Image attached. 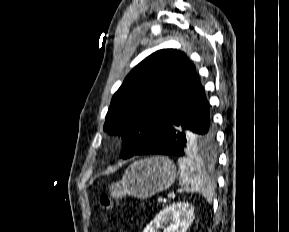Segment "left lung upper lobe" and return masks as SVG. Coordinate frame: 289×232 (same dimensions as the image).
<instances>
[{"label":"left lung upper lobe","instance_id":"5c2ea615","mask_svg":"<svg viewBox=\"0 0 289 232\" xmlns=\"http://www.w3.org/2000/svg\"><path fill=\"white\" fill-rule=\"evenodd\" d=\"M198 81L194 65L181 51L159 50L140 62L112 97L104 124L105 131L123 135L120 158L146 146Z\"/></svg>","mask_w":289,"mask_h":232}]
</instances>
